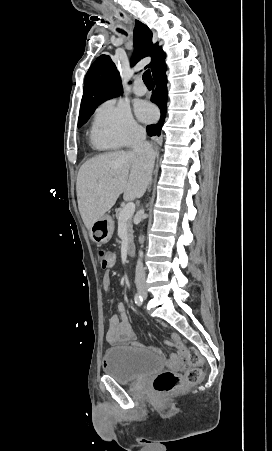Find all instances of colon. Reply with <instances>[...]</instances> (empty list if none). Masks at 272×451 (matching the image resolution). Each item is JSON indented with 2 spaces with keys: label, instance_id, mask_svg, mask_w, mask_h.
<instances>
[{
  "label": "colon",
  "instance_id": "obj_1",
  "mask_svg": "<svg viewBox=\"0 0 272 451\" xmlns=\"http://www.w3.org/2000/svg\"><path fill=\"white\" fill-rule=\"evenodd\" d=\"M114 255L106 250L98 252V261L102 269L108 268ZM170 370L162 371L153 380V387L158 393H170L184 385L189 386L200 380L201 359L192 348L183 349L172 361Z\"/></svg>",
  "mask_w": 272,
  "mask_h": 451
}]
</instances>
